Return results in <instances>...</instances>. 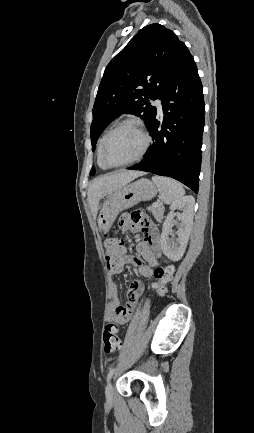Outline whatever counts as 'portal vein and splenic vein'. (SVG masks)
Wrapping results in <instances>:
<instances>
[{"mask_svg":"<svg viewBox=\"0 0 254 433\" xmlns=\"http://www.w3.org/2000/svg\"><path fill=\"white\" fill-rule=\"evenodd\" d=\"M154 205H155V206H157V205H158V202H157V203H155Z\"/></svg>","mask_w":254,"mask_h":433,"instance_id":"portal-vein-and-splenic-vein-1","label":"portal vein and splenic vein"}]
</instances>
